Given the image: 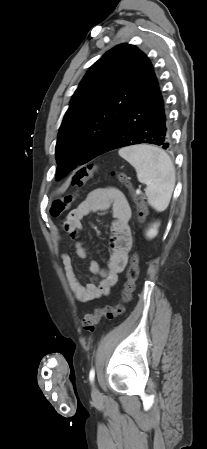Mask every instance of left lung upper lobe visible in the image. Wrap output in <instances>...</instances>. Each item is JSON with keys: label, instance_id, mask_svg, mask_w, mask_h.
<instances>
[{"label": "left lung upper lobe", "instance_id": "1", "mask_svg": "<svg viewBox=\"0 0 207 449\" xmlns=\"http://www.w3.org/2000/svg\"><path fill=\"white\" fill-rule=\"evenodd\" d=\"M153 76L148 57L129 44L114 47L90 67L59 129L57 178L96 157Z\"/></svg>", "mask_w": 207, "mask_h": 449}]
</instances>
